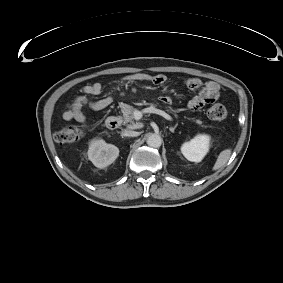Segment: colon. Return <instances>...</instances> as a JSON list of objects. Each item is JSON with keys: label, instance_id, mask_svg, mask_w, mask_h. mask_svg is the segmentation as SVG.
I'll return each mask as SVG.
<instances>
[{"label": "colon", "instance_id": "obj_1", "mask_svg": "<svg viewBox=\"0 0 283 283\" xmlns=\"http://www.w3.org/2000/svg\"><path fill=\"white\" fill-rule=\"evenodd\" d=\"M227 109L222 104H214L208 110V117L213 121H222L227 117ZM85 133L83 127L80 126H66L59 129L54 137L60 144H68L79 141Z\"/></svg>", "mask_w": 283, "mask_h": 283}]
</instances>
